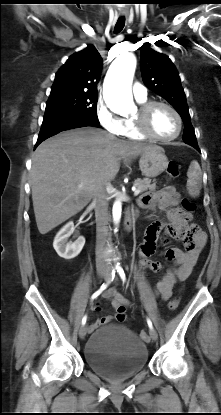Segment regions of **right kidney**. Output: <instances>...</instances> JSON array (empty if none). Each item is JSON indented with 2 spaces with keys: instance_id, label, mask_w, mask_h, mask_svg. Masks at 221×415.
<instances>
[{
  "instance_id": "obj_1",
  "label": "right kidney",
  "mask_w": 221,
  "mask_h": 415,
  "mask_svg": "<svg viewBox=\"0 0 221 415\" xmlns=\"http://www.w3.org/2000/svg\"><path fill=\"white\" fill-rule=\"evenodd\" d=\"M74 223L68 222L55 236L53 247L57 254L64 259L75 258L82 250L85 244V238L83 236L73 243H68L67 240L74 232Z\"/></svg>"
}]
</instances>
